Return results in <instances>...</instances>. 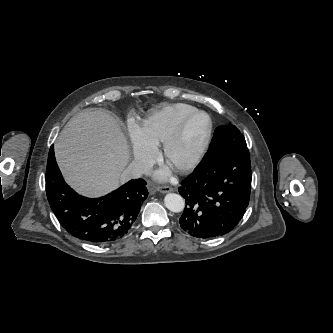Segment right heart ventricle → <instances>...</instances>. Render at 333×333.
<instances>
[{
	"label": "right heart ventricle",
	"mask_w": 333,
	"mask_h": 333,
	"mask_svg": "<svg viewBox=\"0 0 333 333\" xmlns=\"http://www.w3.org/2000/svg\"><path fill=\"white\" fill-rule=\"evenodd\" d=\"M196 110L186 103H172L151 111L142 122V131L154 147L164 144L177 127L181 119Z\"/></svg>",
	"instance_id": "obj_1"
}]
</instances>
